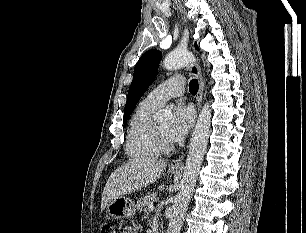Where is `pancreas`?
Returning <instances> with one entry per match:
<instances>
[{"mask_svg": "<svg viewBox=\"0 0 306 233\" xmlns=\"http://www.w3.org/2000/svg\"><path fill=\"white\" fill-rule=\"evenodd\" d=\"M157 193H149L143 197H141L136 204L137 210L142 211L143 209H146V207L150 204H152L156 199Z\"/></svg>", "mask_w": 306, "mask_h": 233, "instance_id": "cf45deb5", "label": "pancreas"}]
</instances>
